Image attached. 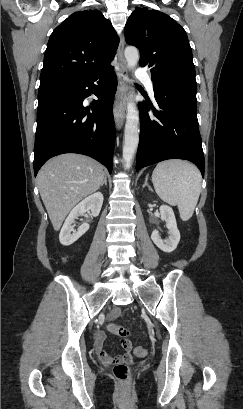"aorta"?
Segmentation results:
<instances>
[{
	"mask_svg": "<svg viewBox=\"0 0 243 409\" xmlns=\"http://www.w3.org/2000/svg\"><path fill=\"white\" fill-rule=\"evenodd\" d=\"M127 67L133 69L139 61L137 48L129 46L124 51ZM139 143V112L136 104L131 100L127 104V115L124 131L123 159L125 168L132 165L134 155Z\"/></svg>",
	"mask_w": 243,
	"mask_h": 409,
	"instance_id": "obj_1",
	"label": "aorta"
}]
</instances>
